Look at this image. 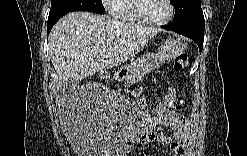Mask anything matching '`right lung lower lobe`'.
I'll return each mask as SVG.
<instances>
[{
  "label": "right lung lower lobe",
  "instance_id": "obj_1",
  "mask_svg": "<svg viewBox=\"0 0 247 156\" xmlns=\"http://www.w3.org/2000/svg\"><path fill=\"white\" fill-rule=\"evenodd\" d=\"M95 13H98V14H104V12H95ZM67 14V13H65ZM65 14H61V15H57V16H54V17H49L48 18V34L50 32V30L52 29L53 25L62 17L64 16Z\"/></svg>",
  "mask_w": 247,
  "mask_h": 156
}]
</instances>
